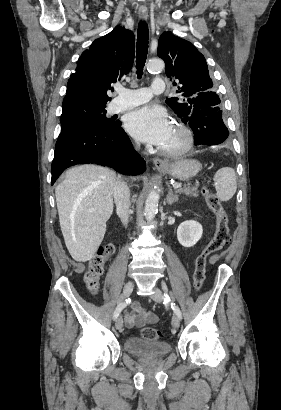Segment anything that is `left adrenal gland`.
I'll return each mask as SVG.
<instances>
[{"mask_svg": "<svg viewBox=\"0 0 281 410\" xmlns=\"http://www.w3.org/2000/svg\"><path fill=\"white\" fill-rule=\"evenodd\" d=\"M166 201H167V203H168L169 205H172V204H174L175 202H178V196L175 195V194H173V191H172L171 188L169 189V192H168V194H167Z\"/></svg>", "mask_w": 281, "mask_h": 410, "instance_id": "a2214340", "label": "left adrenal gland"}]
</instances>
